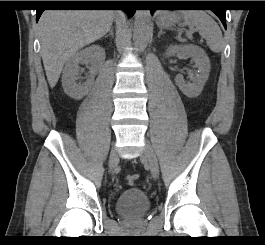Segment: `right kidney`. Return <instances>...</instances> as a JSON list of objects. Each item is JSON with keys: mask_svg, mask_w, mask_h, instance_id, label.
<instances>
[{"mask_svg": "<svg viewBox=\"0 0 265 245\" xmlns=\"http://www.w3.org/2000/svg\"><path fill=\"white\" fill-rule=\"evenodd\" d=\"M105 60V50L99 45L89 46L71 56L65 63L62 74V86L67 95L76 100L87 94V83L77 82L79 64L90 63L91 73L100 69Z\"/></svg>", "mask_w": 265, "mask_h": 245, "instance_id": "right-kidney-1", "label": "right kidney"}]
</instances>
